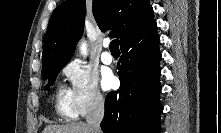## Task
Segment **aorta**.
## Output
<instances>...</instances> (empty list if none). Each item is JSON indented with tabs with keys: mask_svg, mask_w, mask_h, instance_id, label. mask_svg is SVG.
I'll use <instances>...</instances> for the list:
<instances>
[{
	"mask_svg": "<svg viewBox=\"0 0 221 133\" xmlns=\"http://www.w3.org/2000/svg\"><path fill=\"white\" fill-rule=\"evenodd\" d=\"M81 52L82 54L86 55V44H82Z\"/></svg>",
	"mask_w": 221,
	"mask_h": 133,
	"instance_id": "obj_1",
	"label": "aorta"
}]
</instances>
